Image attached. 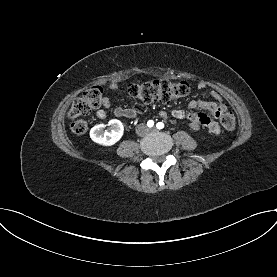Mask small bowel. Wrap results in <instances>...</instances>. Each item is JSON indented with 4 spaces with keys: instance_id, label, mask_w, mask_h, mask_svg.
Listing matches in <instances>:
<instances>
[{
    "instance_id": "obj_1",
    "label": "small bowel",
    "mask_w": 277,
    "mask_h": 277,
    "mask_svg": "<svg viewBox=\"0 0 277 277\" xmlns=\"http://www.w3.org/2000/svg\"><path fill=\"white\" fill-rule=\"evenodd\" d=\"M199 90H207L215 101L192 100L188 104V109H175L171 112L160 111L159 115L162 118L170 119L172 121L180 120L186 121L188 125L194 129L206 128L213 134H218L221 130L220 124L214 118H219L226 110L227 106L222 100L221 95L214 89H211L205 82L197 84ZM119 86L116 83H111L107 90L109 92L118 91ZM102 105L106 109H111L112 105L110 99L105 97ZM201 109L207 113L198 112ZM146 111L145 104H135L131 107H115L112 108V113L116 117H125L135 119ZM96 115L100 119H105L107 113L104 109H98Z\"/></svg>"
}]
</instances>
